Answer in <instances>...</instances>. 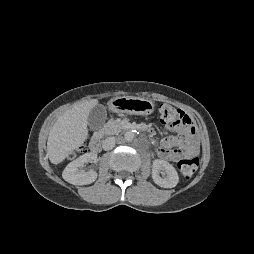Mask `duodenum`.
Returning <instances> with one entry per match:
<instances>
[{
	"mask_svg": "<svg viewBox=\"0 0 254 254\" xmlns=\"http://www.w3.org/2000/svg\"><path fill=\"white\" fill-rule=\"evenodd\" d=\"M128 129L129 130H140V131H143L148 134L152 133V130L146 126H129ZM100 148H101V138H100V133L98 132L92 137V139L90 141V150L93 153H96L100 150Z\"/></svg>",
	"mask_w": 254,
	"mask_h": 254,
	"instance_id": "1",
	"label": "duodenum"
}]
</instances>
